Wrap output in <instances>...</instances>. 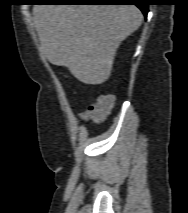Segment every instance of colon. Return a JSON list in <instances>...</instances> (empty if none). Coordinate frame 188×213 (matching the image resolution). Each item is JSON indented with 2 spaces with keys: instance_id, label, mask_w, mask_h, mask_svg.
I'll return each mask as SVG.
<instances>
[{
  "instance_id": "colon-1",
  "label": "colon",
  "mask_w": 188,
  "mask_h": 213,
  "mask_svg": "<svg viewBox=\"0 0 188 213\" xmlns=\"http://www.w3.org/2000/svg\"><path fill=\"white\" fill-rule=\"evenodd\" d=\"M115 98L111 94L98 96L88 107L89 118L99 120L113 108Z\"/></svg>"
}]
</instances>
